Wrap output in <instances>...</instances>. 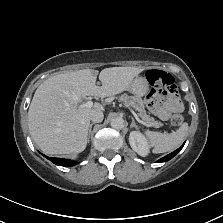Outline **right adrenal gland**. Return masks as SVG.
Instances as JSON below:
<instances>
[{"mask_svg": "<svg viewBox=\"0 0 223 223\" xmlns=\"http://www.w3.org/2000/svg\"><path fill=\"white\" fill-rule=\"evenodd\" d=\"M96 124L95 122H92L90 125H89V132H88V136H87V141L89 142L90 141V135H91V131H92V126Z\"/></svg>", "mask_w": 223, "mask_h": 223, "instance_id": "obj_1", "label": "right adrenal gland"}]
</instances>
